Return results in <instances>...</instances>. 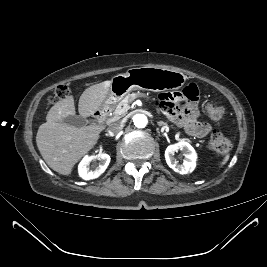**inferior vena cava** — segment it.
Returning <instances> with one entry per match:
<instances>
[{
    "mask_svg": "<svg viewBox=\"0 0 267 267\" xmlns=\"http://www.w3.org/2000/svg\"><path fill=\"white\" fill-rule=\"evenodd\" d=\"M123 129L122 122H114L109 125L108 132L111 134H118Z\"/></svg>",
    "mask_w": 267,
    "mask_h": 267,
    "instance_id": "inferior-vena-cava-1",
    "label": "inferior vena cava"
}]
</instances>
